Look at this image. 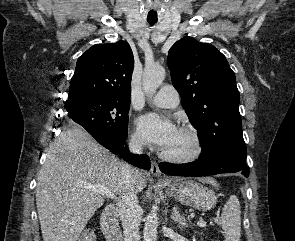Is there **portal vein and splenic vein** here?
I'll list each match as a JSON object with an SVG mask.
<instances>
[{
    "label": "portal vein and splenic vein",
    "mask_w": 295,
    "mask_h": 241,
    "mask_svg": "<svg viewBox=\"0 0 295 241\" xmlns=\"http://www.w3.org/2000/svg\"><path fill=\"white\" fill-rule=\"evenodd\" d=\"M84 188L86 189H90L94 192H97L103 196H106L110 199H114L115 198V195L109 191L107 188L103 187V186H100V185H93V184H89V185H84ZM197 225L199 227H205L207 225V223L205 221H203L202 219H200L198 222H197Z\"/></svg>",
    "instance_id": "18ae733b"
}]
</instances>
